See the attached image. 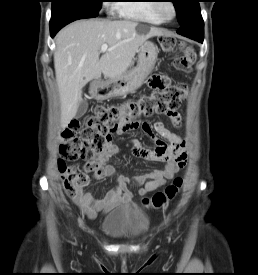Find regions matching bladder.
I'll return each instance as SVG.
<instances>
[{"label": "bladder", "mask_w": 258, "mask_h": 275, "mask_svg": "<svg viewBox=\"0 0 258 275\" xmlns=\"http://www.w3.org/2000/svg\"><path fill=\"white\" fill-rule=\"evenodd\" d=\"M150 217L135 205H125L110 212L101 223V230L116 240H139L149 228Z\"/></svg>", "instance_id": "obj_1"}]
</instances>
